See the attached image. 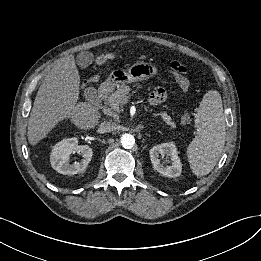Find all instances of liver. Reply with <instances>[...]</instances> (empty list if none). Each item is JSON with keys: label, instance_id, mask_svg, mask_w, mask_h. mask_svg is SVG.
Segmentation results:
<instances>
[{"label": "liver", "instance_id": "1", "mask_svg": "<svg viewBox=\"0 0 261 261\" xmlns=\"http://www.w3.org/2000/svg\"><path fill=\"white\" fill-rule=\"evenodd\" d=\"M80 75L73 55L58 62L45 76L34 101L28 122V141L35 146L63 119L89 130L101 114L90 103L78 102Z\"/></svg>", "mask_w": 261, "mask_h": 261}]
</instances>
